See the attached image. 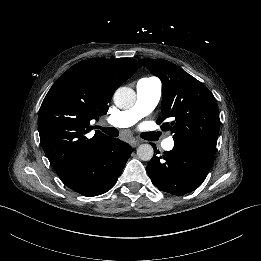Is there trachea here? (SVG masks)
Returning <instances> with one entry per match:
<instances>
[{
	"label": "trachea",
	"instance_id": "trachea-1",
	"mask_svg": "<svg viewBox=\"0 0 261 261\" xmlns=\"http://www.w3.org/2000/svg\"><path fill=\"white\" fill-rule=\"evenodd\" d=\"M98 128L111 137H118V135H119V131L114 127L104 128V127L98 126Z\"/></svg>",
	"mask_w": 261,
	"mask_h": 261
}]
</instances>
